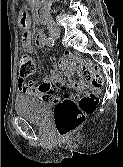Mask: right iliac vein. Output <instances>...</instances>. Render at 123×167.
<instances>
[{
	"label": "right iliac vein",
	"instance_id": "right-iliac-vein-1",
	"mask_svg": "<svg viewBox=\"0 0 123 167\" xmlns=\"http://www.w3.org/2000/svg\"><path fill=\"white\" fill-rule=\"evenodd\" d=\"M49 33L53 38H59L60 37V30L57 27L50 28Z\"/></svg>",
	"mask_w": 123,
	"mask_h": 167
}]
</instances>
